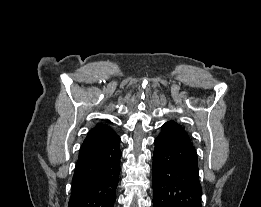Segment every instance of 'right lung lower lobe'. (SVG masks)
Returning a JSON list of instances; mask_svg holds the SVG:
<instances>
[{
  "instance_id": "98d812e1",
  "label": "right lung lower lobe",
  "mask_w": 261,
  "mask_h": 207,
  "mask_svg": "<svg viewBox=\"0 0 261 207\" xmlns=\"http://www.w3.org/2000/svg\"><path fill=\"white\" fill-rule=\"evenodd\" d=\"M120 137L81 149L69 207H113L120 173Z\"/></svg>"
}]
</instances>
